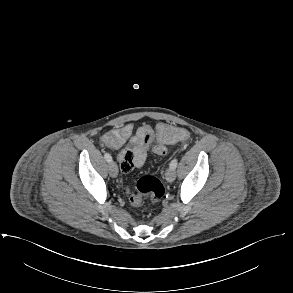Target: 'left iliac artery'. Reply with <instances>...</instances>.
Masks as SVG:
<instances>
[{"label": "left iliac artery", "instance_id": "obj_1", "mask_svg": "<svg viewBox=\"0 0 293 293\" xmlns=\"http://www.w3.org/2000/svg\"><path fill=\"white\" fill-rule=\"evenodd\" d=\"M178 164V159L174 158L171 162H170V168L172 169H176Z\"/></svg>", "mask_w": 293, "mask_h": 293}]
</instances>
